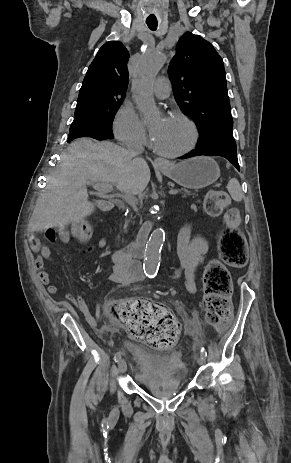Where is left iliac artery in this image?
Masks as SVG:
<instances>
[{
    "instance_id": "1",
    "label": "left iliac artery",
    "mask_w": 291,
    "mask_h": 463,
    "mask_svg": "<svg viewBox=\"0 0 291 463\" xmlns=\"http://www.w3.org/2000/svg\"><path fill=\"white\" fill-rule=\"evenodd\" d=\"M201 355L206 358L207 357V352L204 347L201 348Z\"/></svg>"
}]
</instances>
